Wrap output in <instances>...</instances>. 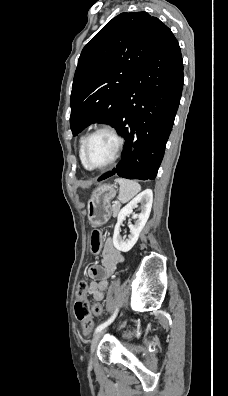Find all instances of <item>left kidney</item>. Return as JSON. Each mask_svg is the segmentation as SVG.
I'll use <instances>...</instances> for the list:
<instances>
[{
    "label": "left kidney",
    "mask_w": 228,
    "mask_h": 396,
    "mask_svg": "<svg viewBox=\"0 0 228 396\" xmlns=\"http://www.w3.org/2000/svg\"><path fill=\"white\" fill-rule=\"evenodd\" d=\"M152 201L153 192L147 189L141 192L138 196H136L131 202H129L120 210L113 234V244L117 250L122 252H128L136 244L139 238V234L141 233L149 218ZM138 203L142 204L141 213L134 214L132 213L133 209L137 206ZM130 214H132V218L136 219V221L135 224L129 225L130 235L128 236V239H125L120 235V225L125 217Z\"/></svg>",
    "instance_id": "5707ae66"
}]
</instances>
